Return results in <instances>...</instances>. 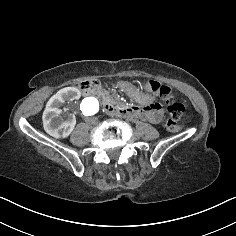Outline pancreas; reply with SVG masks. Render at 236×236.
I'll use <instances>...</instances> for the list:
<instances>
[{"mask_svg":"<svg viewBox=\"0 0 236 236\" xmlns=\"http://www.w3.org/2000/svg\"><path fill=\"white\" fill-rule=\"evenodd\" d=\"M98 96L100 98H103L104 100H107V99L111 98L109 92L105 89H100Z\"/></svg>","mask_w":236,"mask_h":236,"instance_id":"obj_1","label":"pancreas"}]
</instances>
